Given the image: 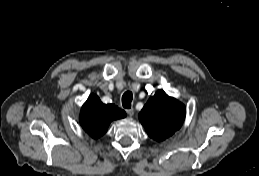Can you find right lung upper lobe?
I'll return each mask as SVG.
<instances>
[{"label":"right lung upper lobe","instance_id":"1","mask_svg":"<svg viewBox=\"0 0 259 176\" xmlns=\"http://www.w3.org/2000/svg\"><path fill=\"white\" fill-rule=\"evenodd\" d=\"M126 113L114 104H103L99 97L92 94L84 103L80 113V124L93 138L102 136L111 121L124 118Z\"/></svg>","mask_w":259,"mask_h":176}]
</instances>
